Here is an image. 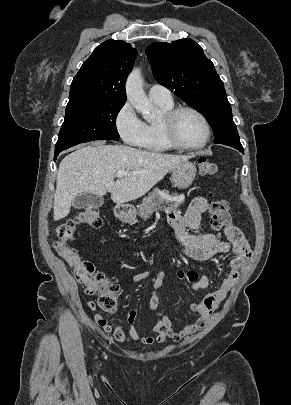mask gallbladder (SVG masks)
Wrapping results in <instances>:
<instances>
[{"mask_svg":"<svg viewBox=\"0 0 291 405\" xmlns=\"http://www.w3.org/2000/svg\"><path fill=\"white\" fill-rule=\"evenodd\" d=\"M104 204V198L91 193H83L78 195L73 200V207L76 209L82 208H99Z\"/></svg>","mask_w":291,"mask_h":405,"instance_id":"obj_1","label":"gallbladder"}]
</instances>
